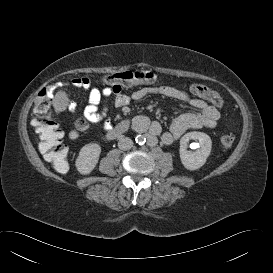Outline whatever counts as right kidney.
I'll return each instance as SVG.
<instances>
[{
    "instance_id": "ca27d5eb",
    "label": "right kidney",
    "mask_w": 273,
    "mask_h": 273,
    "mask_svg": "<svg viewBox=\"0 0 273 273\" xmlns=\"http://www.w3.org/2000/svg\"><path fill=\"white\" fill-rule=\"evenodd\" d=\"M101 153L100 145L89 143L83 146L76 160V167L81 174H89L96 166Z\"/></svg>"
}]
</instances>
